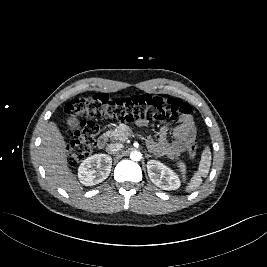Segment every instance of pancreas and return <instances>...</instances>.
I'll return each mask as SVG.
<instances>
[{
	"label": "pancreas",
	"mask_w": 267,
	"mask_h": 267,
	"mask_svg": "<svg viewBox=\"0 0 267 267\" xmlns=\"http://www.w3.org/2000/svg\"><path fill=\"white\" fill-rule=\"evenodd\" d=\"M131 134L132 131L127 125H119L114 130L106 132V135L109 136L111 139L120 142L126 141Z\"/></svg>",
	"instance_id": "cf45deb5"
}]
</instances>
